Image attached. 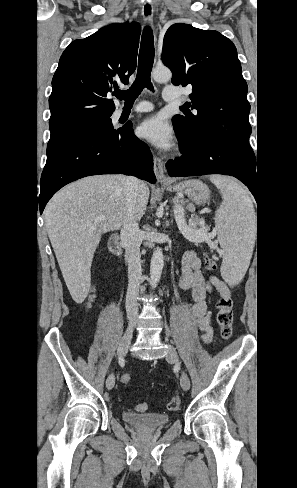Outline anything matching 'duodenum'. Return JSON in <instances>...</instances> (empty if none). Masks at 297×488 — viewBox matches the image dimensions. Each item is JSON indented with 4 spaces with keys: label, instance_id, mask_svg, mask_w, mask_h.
Here are the masks:
<instances>
[{
    "label": "duodenum",
    "instance_id": "duodenum-1",
    "mask_svg": "<svg viewBox=\"0 0 297 488\" xmlns=\"http://www.w3.org/2000/svg\"><path fill=\"white\" fill-rule=\"evenodd\" d=\"M109 248L111 250V252L117 256L121 262H122V250H121V247L119 245V237L117 234H114L110 237V240H109Z\"/></svg>",
    "mask_w": 297,
    "mask_h": 488
}]
</instances>
